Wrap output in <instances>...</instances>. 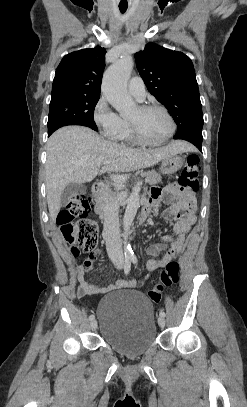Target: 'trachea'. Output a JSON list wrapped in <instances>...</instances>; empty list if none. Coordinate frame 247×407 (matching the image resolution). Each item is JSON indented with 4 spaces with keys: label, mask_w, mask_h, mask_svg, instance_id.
<instances>
[{
    "label": "trachea",
    "mask_w": 247,
    "mask_h": 407,
    "mask_svg": "<svg viewBox=\"0 0 247 407\" xmlns=\"http://www.w3.org/2000/svg\"><path fill=\"white\" fill-rule=\"evenodd\" d=\"M127 8L128 6H119V10L122 14L126 12Z\"/></svg>",
    "instance_id": "obj_1"
}]
</instances>
